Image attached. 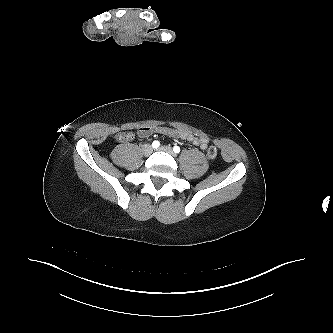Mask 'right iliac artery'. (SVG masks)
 Here are the masks:
<instances>
[{"label": "right iliac artery", "mask_w": 333, "mask_h": 333, "mask_svg": "<svg viewBox=\"0 0 333 333\" xmlns=\"http://www.w3.org/2000/svg\"><path fill=\"white\" fill-rule=\"evenodd\" d=\"M159 145H160V142L157 141V140L153 141V143H152V147H153V148H158Z\"/></svg>", "instance_id": "1"}]
</instances>
